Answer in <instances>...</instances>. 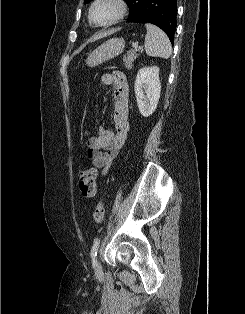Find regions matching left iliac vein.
<instances>
[{
    "mask_svg": "<svg viewBox=\"0 0 245 314\" xmlns=\"http://www.w3.org/2000/svg\"><path fill=\"white\" fill-rule=\"evenodd\" d=\"M94 269L96 273H100L102 271L101 264L97 259L94 261Z\"/></svg>",
    "mask_w": 245,
    "mask_h": 314,
    "instance_id": "1",
    "label": "left iliac vein"
}]
</instances>
